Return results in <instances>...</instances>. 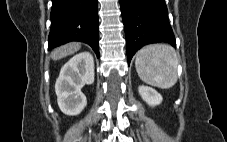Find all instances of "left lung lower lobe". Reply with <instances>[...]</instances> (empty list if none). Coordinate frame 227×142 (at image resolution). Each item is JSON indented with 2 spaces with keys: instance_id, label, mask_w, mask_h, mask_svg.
<instances>
[{
  "instance_id": "left-lung-lower-lobe-1",
  "label": "left lung lower lobe",
  "mask_w": 227,
  "mask_h": 142,
  "mask_svg": "<svg viewBox=\"0 0 227 142\" xmlns=\"http://www.w3.org/2000/svg\"><path fill=\"white\" fill-rule=\"evenodd\" d=\"M128 64L146 44L168 42L176 46L165 0H120Z\"/></svg>"
}]
</instances>
